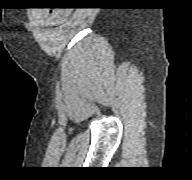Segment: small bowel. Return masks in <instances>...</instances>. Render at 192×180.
I'll return each instance as SVG.
<instances>
[{
    "label": "small bowel",
    "instance_id": "1",
    "mask_svg": "<svg viewBox=\"0 0 192 180\" xmlns=\"http://www.w3.org/2000/svg\"><path fill=\"white\" fill-rule=\"evenodd\" d=\"M55 14H50L48 12H44L42 17L45 18L48 22H52L54 20Z\"/></svg>",
    "mask_w": 192,
    "mask_h": 180
}]
</instances>
